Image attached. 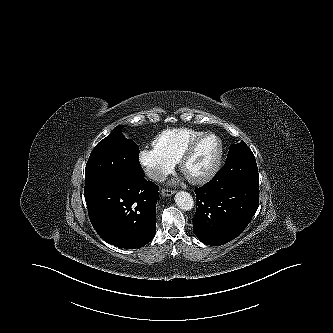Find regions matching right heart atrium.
Returning a JSON list of instances; mask_svg holds the SVG:
<instances>
[{"label": "right heart atrium", "instance_id": "right-heart-atrium-1", "mask_svg": "<svg viewBox=\"0 0 333 333\" xmlns=\"http://www.w3.org/2000/svg\"><path fill=\"white\" fill-rule=\"evenodd\" d=\"M139 162L146 174L154 181L163 180L175 167L174 161L154 149L141 150Z\"/></svg>", "mask_w": 333, "mask_h": 333}]
</instances>
